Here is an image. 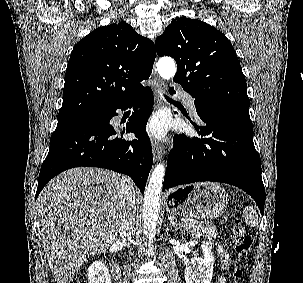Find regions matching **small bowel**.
<instances>
[{
  "mask_svg": "<svg viewBox=\"0 0 303 283\" xmlns=\"http://www.w3.org/2000/svg\"><path fill=\"white\" fill-rule=\"evenodd\" d=\"M218 254H219L222 266L227 267L229 259H228V254H227L226 250L223 247L218 246ZM216 283H226V282H225V279L223 277H219L216 280Z\"/></svg>",
  "mask_w": 303,
  "mask_h": 283,
  "instance_id": "1",
  "label": "small bowel"
}]
</instances>
